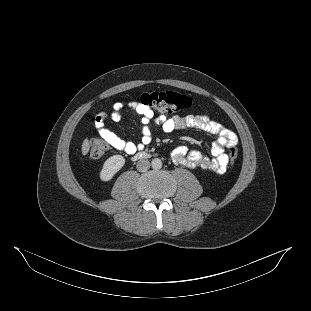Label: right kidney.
I'll list each match as a JSON object with an SVG mask.
<instances>
[{
    "label": "right kidney",
    "mask_w": 311,
    "mask_h": 311,
    "mask_svg": "<svg viewBox=\"0 0 311 311\" xmlns=\"http://www.w3.org/2000/svg\"><path fill=\"white\" fill-rule=\"evenodd\" d=\"M125 159L122 155H114L108 158L100 172L102 181H109L124 166Z\"/></svg>",
    "instance_id": "ca27d5eb"
}]
</instances>
